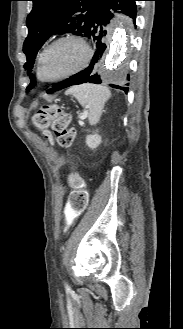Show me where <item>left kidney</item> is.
<instances>
[{
    "label": "left kidney",
    "mask_w": 183,
    "mask_h": 329,
    "mask_svg": "<svg viewBox=\"0 0 183 329\" xmlns=\"http://www.w3.org/2000/svg\"><path fill=\"white\" fill-rule=\"evenodd\" d=\"M101 141V136L97 133L87 135L86 137V144L91 149L97 148L100 145Z\"/></svg>",
    "instance_id": "left-kidney-1"
}]
</instances>
